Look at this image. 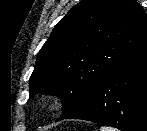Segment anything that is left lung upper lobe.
Wrapping results in <instances>:
<instances>
[{"instance_id": "left-lung-upper-lobe-1", "label": "left lung upper lobe", "mask_w": 147, "mask_h": 131, "mask_svg": "<svg viewBox=\"0 0 147 131\" xmlns=\"http://www.w3.org/2000/svg\"><path fill=\"white\" fill-rule=\"evenodd\" d=\"M147 42V15L134 0H82L55 26L30 77V97L62 98L66 119L80 109L108 72Z\"/></svg>"}]
</instances>
